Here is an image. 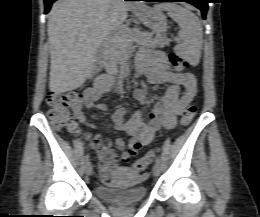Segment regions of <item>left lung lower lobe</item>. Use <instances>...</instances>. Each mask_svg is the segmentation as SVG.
I'll return each instance as SVG.
<instances>
[{"label": "left lung lower lobe", "mask_w": 260, "mask_h": 217, "mask_svg": "<svg viewBox=\"0 0 260 217\" xmlns=\"http://www.w3.org/2000/svg\"><path fill=\"white\" fill-rule=\"evenodd\" d=\"M136 1H155V2H188L193 4L195 7L199 8L202 11V16L205 19L206 12L208 9V0H136Z\"/></svg>", "instance_id": "obj_1"}]
</instances>
